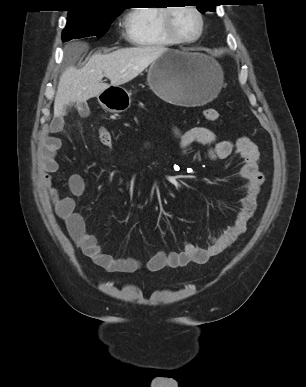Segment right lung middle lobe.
Returning <instances> with one entry per match:
<instances>
[{"instance_id": "right-lung-middle-lobe-1", "label": "right lung middle lobe", "mask_w": 306, "mask_h": 387, "mask_svg": "<svg viewBox=\"0 0 306 387\" xmlns=\"http://www.w3.org/2000/svg\"><path fill=\"white\" fill-rule=\"evenodd\" d=\"M110 12L96 16H68L67 25L62 34L63 41L97 36L101 38L109 29L110 23L121 13Z\"/></svg>"}]
</instances>
